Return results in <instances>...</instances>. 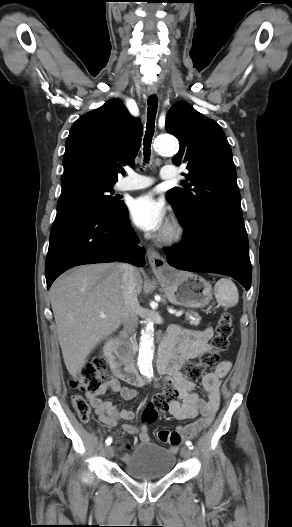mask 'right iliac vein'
Wrapping results in <instances>:
<instances>
[{
	"label": "right iliac vein",
	"instance_id": "63e3f726",
	"mask_svg": "<svg viewBox=\"0 0 292 527\" xmlns=\"http://www.w3.org/2000/svg\"><path fill=\"white\" fill-rule=\"evenodd\" d=\"M106 457L111 458L114 455L113 448L111 446L106 447L105 449Z\"/></svg>",
	"mask_w": 292,
	"mask_h": 527
}]
</instances>
